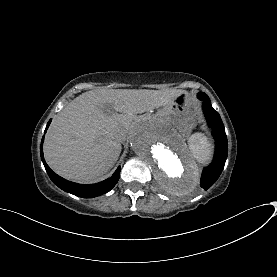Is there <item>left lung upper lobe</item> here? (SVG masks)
Masks as SVG:
<instances>
[{
  "instance_id": "5c2ea615",
  "label": "left lung upper lobe",
  "mask_w": 277,
  "mask_h": 277,
  "mask_svg": "<svg viewBox=\"0 0 277 277\" xmlns=\"http://www.w3.org/2000/svg\"><path fill=\"white\" fill-rule=\"evenodd\" d=\"M198 97L203 101L210 102V99L208 98V96L205 93H199Z\"/></svg>"
}]
</instances>
